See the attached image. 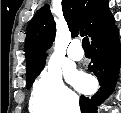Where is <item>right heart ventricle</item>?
I'll return each mask as SVG.
<instances>
[{"label":"right heart ventricle","mask_w":121,"mask_h":113,"mask_svg":"<svg viewBox=\"0 0 121 113\" xmlns=\"http://www.w3.org/2000/svg\"><path fill=\"white\" fill-rule=\"evenodd\" d=\"M30 109L33 113H47L43 106L33 98L30 101Z\"/></svg>","instance_id":"1"}]
</instances>
